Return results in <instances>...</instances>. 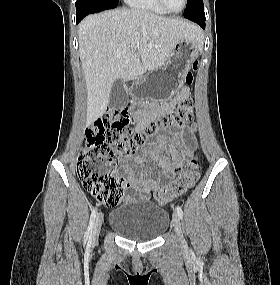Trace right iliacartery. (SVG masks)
I'll return each instance as SVG.
<instances>
[{
    "label": "right iliac artery",
    "instance_id": "obj_1",
    "mask_svg": "<svg viewBox=\"0 0 280 285\" xmlns=\"http://www.w3.org/2000/svg\"><path fill=\"white\" fill-rule=\"evenodd\" d=\"M96 213H97V208H94L92 210V213H91V216H90V221H89V226H88V229L85 233V240L88 239V237L91 238V234H92V229H93V226H94V222H95V218H96Z\"/></svg>",
    "mask_w": 280,
    "mask_h": 285
}]
</instances>
